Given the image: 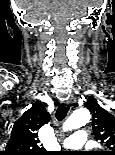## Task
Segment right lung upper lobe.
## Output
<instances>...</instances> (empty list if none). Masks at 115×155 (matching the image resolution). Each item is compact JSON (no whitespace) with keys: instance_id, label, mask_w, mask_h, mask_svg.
<instances>
[{"instance_id":"obj_1","label":"right lung upper lobe","mask_w":115,"mask_h":155,"mask_svg":"<svg viewBox=\"0 0 115 155\" xmlns=\"http://www.w3.org/2000/svg\"><path fill=\"white\" fill-rule=\"evenodd\" d=\"M50 115L40 101H36L14 124L3 155H46L40 147L38 130L47 124Z\"/></svg>"}]
</instances>
